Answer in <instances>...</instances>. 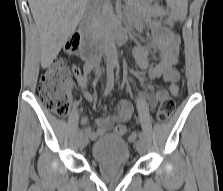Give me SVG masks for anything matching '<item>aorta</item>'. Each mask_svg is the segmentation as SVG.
Masks as SVG:
<instances>
[{"label":"aorta","instance_id":"obj_1","mask_svg":"<svg viewBox=\"0 0 223 191\" xmlns=\"http://www.w3.org/2000/svg\"><path fill=\"white\" fill-rule=\"evenodd\" d=\"M103 44L105 48L107 63L109 65H115L117 63V56L113 38L109 35H106L103 38Z\"/></svg>","mask_w":223,"mask_h":191}]
</instances>
